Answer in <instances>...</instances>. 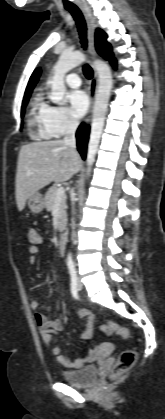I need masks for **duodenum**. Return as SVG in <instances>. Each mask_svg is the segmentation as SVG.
I'll list each match as a JSON object with an SVG mask.
<instances>
[{
  "label": "duodenum",
  "mask_w": 165,
  "mask_h": 419,
  "mask_svg": "<svg viewBox=\"0 0 165 419\" xmlns=\"http://www.w3.org/2000/svg\"><path fill=\"white\" fill-rule=\"evenodd\" d=\"M66 240V235L62 234L57 241V247L60 254H64L65 252Z\"/></svg>",
  "instance_id": "duodenum-1"
}]
</instances>
